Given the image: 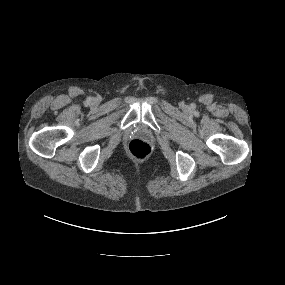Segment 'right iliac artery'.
I'll return each mask as SVG.
<instances>
[{
  "label": "right iliac artery",
  "instance_id": "obj_1",
  "mask_svg": "<svg viewBox=\"0 0 285 285\" xmlns=\"http://www.w3.org/2000/svg\"><path fill=\"white\" fill-rule=\"evenodd\" d=\"M91 101V99L89 98L88 100H87V103H89Z\"/></svg>",
  "mask_w": 285,
  "mask_h": 285
}]
</instances>
